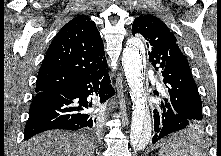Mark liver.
Listing matches in <instances>:
<instances>
[{
	"label": "liver",
	"mask_w": 221,
	"mask_h": 156,
	"mask_svg": "<svg viewBox=\"0 0 221 156\" xmlns=\"http://www.w3.org/2000/svg\"><path fill=\"white\" fill-rule=\"evenodd\" d=\"M94 145L83 135L69 131H47L24 144L23 156H93Z\"/></svg>",
	"instance_id": "obj_1"
}]
</instances>
